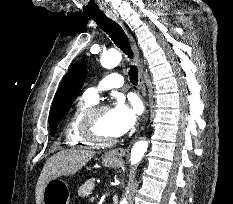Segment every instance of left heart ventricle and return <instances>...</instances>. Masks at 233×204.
<instances>
[{
	"instance_id": "obj_1",
	"label": "left heart ventricle",
	"mask_w": 233,
	"mask_h": 204,
	"mask_svg": "<svg viewBox=\"0 0 233 204\" xmlns=\"http://www.w3.org/2000/svg\"><path fill=\"white\" fill-rule=\"evenodd\" d=\"M97 132L99 135L106 138H115L117 135L115 134L110 117V111L105 110L98 116L97 119Z\"/></svg>"
}]
</instances>
